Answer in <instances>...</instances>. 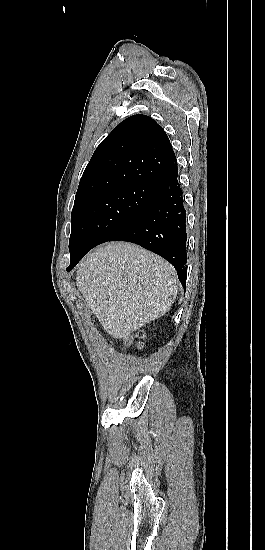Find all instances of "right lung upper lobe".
<instances>
[{"instance_id": "right-lung-upper-lobe-1", "label": "right lung upper lobe", "mask_w": 265, "mask_h": 550, "mask_svg": "<svg viewBox=\"0 0 265 550\" xmlns=\"http://www.w3.org/2000/svg\"><path fill=\"white\" fill-rule=\"evenodd\" d=\"M177 166L165 131L146 115L122 121L97 147L74 203L123 187L159 185Z\"/></svg>"}]
</instances>
